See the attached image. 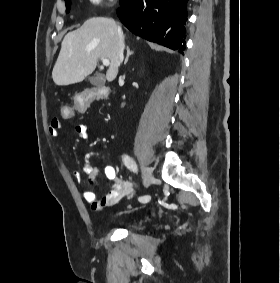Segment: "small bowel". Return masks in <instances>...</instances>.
Here are the masks:
<instances>
[{
	"instance_id": "1",
	"label": "small bowel",
	"mask_w": 280,
	"mask_h": 283,
	"mask_svg": "<svg viewBox=\"0 0 280 283\" xmlns=\"http://www.w3.org/2000/svg\"><path fill=\"white\" fill-rule=\"evenodd\" d=\"M82 111V110H79ZM61 130V122L57 119L52 120L49 126V134L52 137H57ZM75 133L78 138L86 139L88 137V128L84 124H78L75 126ZM98 157L95 152H90L87 158ZM83 171L88 175V185L89 190L85 191L83 194L84 199L90 204L93 211L99 212L103 211L108 207L119 204L120 202L130 199L134 195V188L132 183L127 180L120 178L115 169L111 166H107L104 169L105 176L111 181L108 192L101 197H97L94 189L97 188V178L99 175V170L93 167L89 162H86ZM74 179L80 180L82 173L79 170H74L72 172Z\"/></svg>"
}]
</instances>
